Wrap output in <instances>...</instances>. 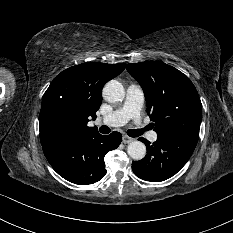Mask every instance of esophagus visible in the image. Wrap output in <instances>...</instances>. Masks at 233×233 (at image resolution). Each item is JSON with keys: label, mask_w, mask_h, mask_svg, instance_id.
Wrapping results in <instances>:
<instances>
[{"label": "esophagus", "mask_w": 233, "mask_h": 233, "mask_svg": "<svg viewBox=\"0 0 233 233\" xmlns=\"http://www.w3.org/2000/svg\"><path fill=\"white\" fill-rule=\"evenodd\" d=\"M134 140H135L134 138H131V137L126 136V135H124L123 138H122V141H123V143H125V144L131 143V142H133Z\"/></svg>", "instance_id": "34e87169"}]
</instances>
